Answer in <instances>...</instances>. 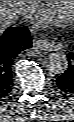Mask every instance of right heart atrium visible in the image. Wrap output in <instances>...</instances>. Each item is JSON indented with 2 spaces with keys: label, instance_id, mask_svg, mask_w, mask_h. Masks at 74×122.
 Masks as SVG:
<instances>
[{
  "label": "right heart atrium",
  "instance_id": "right-heart-atrium-1",
  "mask_svg": "<svg viewBox=\"0 0 74 122\" xmlns=\"http://www.w3.org/2000/svg\"><path fill=\"white\" fill-rule=\"evenodd\" d=\"M28 4L35 6L39 1H26Z\"/></svg>",
  "mask_w": 74,
  "mask_h": 122
}]
</instances>
